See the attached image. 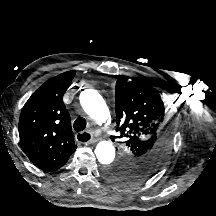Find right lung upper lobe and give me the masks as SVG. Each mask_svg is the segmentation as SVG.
I'll use <instances>...</instances> for the list:
<instances>
[{
  "instance_id": "cb5924a9",
  "label": "right lung upper lobe",
  "mask_w": 216,
  "mask_h": 216,
  "mask_svg": "<svg viewBox=\"0 0 216 216\" xmlns=\"http://www.w3.org/2000/svg\"><path fill=\"white\" fill-rule=\"evenodd\" d=\"M76 71L46 81L28 99L19 119V137L31 162L43 171L62 167L77 146L71 119L62 101Z\"/></svg>"
}]
</instances>
